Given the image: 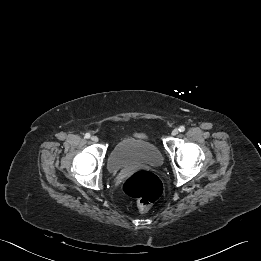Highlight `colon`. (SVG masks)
I'll return each instance as SVG.
<instances>
[{
  "label": "colon",
  "instance_id": "colon-1",
  "mask_svg": "<svg viewBox=\"0 0 261 261\" xmlns=\"http://www.w3.org/2000/svg\"><path fill=\"white\" fill-rule=\"evenodd\" d=\"M122 190L126 195L137 199L139 211L146 213L150 205L161 196L163 185L153 173L138 170L124 180Z\"/></svg>",
  "mask_w": 261,
  "mask_h": 261
}]
</instances>
